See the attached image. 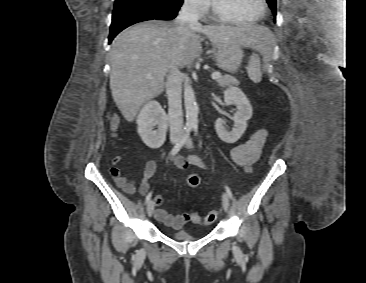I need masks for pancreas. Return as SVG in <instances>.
I'll return each instance as SVG.
<instances>
[{"label":"pancreas","mask_w":366,"mask_h":283,"mask_svg":"<svg viewBox=\"0 0 366 283\" xmlns=\"http://www.w3.org/2000/svg\"><path fill=\"white\" fill-rule=\"evenodd\" d=\"M217 82L222 87L232 86V85L238 86L240 84V82L237 79H235L234 77H232L230 75L221 76L220 78L217 79Z\"/></svg>","instance_id":"1"}]
</instances>
